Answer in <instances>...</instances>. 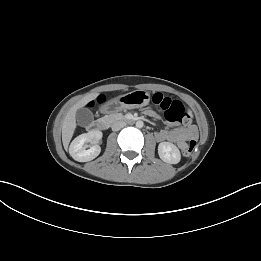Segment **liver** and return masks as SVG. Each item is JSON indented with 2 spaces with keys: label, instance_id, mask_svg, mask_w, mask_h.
<instances>
[{
  "label": "liver",
  "instance_id": "6515ba94",
  "mask_svg": "<svg viewBox=\"0 0 261 261\" xmlns=\"http://www.w3.org/2000/svg\"><path fill=\"white\" fill-rule=\"evenodd\" d=\"M97 97L96 93L88 94L81 100H79L74 106L70 108L67 112L63 124H62V142L65 149L68 148V145L71 141V138L74 134L76 128V112L78 109L84 107L89 101Z\"/></svg>",
  "mask_w": 261,
  "mask_h": 261
}]
</instances>
